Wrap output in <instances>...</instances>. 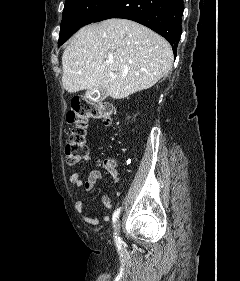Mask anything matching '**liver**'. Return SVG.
Masks as SVG:
<instances>
[{"label":"liver","mask_w":240,"mask_h":281,"mask_svg":"<svg viewBox=\"0 0 240 281\" xmlns=\"http://www.w3.org/2000/svg\"><path fill=\"white\" fill-rule=\"evenodd\" d=\"M170 44L127 19L82 27L62 55V84L69 93L101 88L114 99L149 89L172 67Z\"/></svg>","instance_id":"1"}]
</instances>
